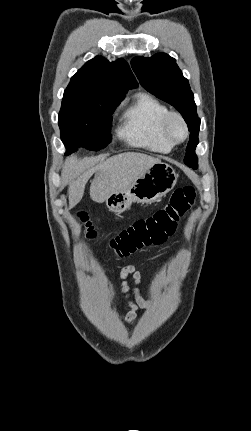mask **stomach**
<instances>
[{
  "label": "stomach",
  "instance_id": "0dacf381",
  "mask_svg": "<svg viewBox=\"0 0 251 431\" xmlns=\"http://www.w3.org/2000/svg\"><path fill=\"white\" fill-rule=\"evenodd\" d=\"M177 177L169 164L161 161L155 163L126 191L111 194L105 200L106 206L111 212L121 214L134 202L142 204L155 202L174 188Z\"/></svg>",
  "mask_w": 251,
  "mask_h": 431
}]
</instances>
